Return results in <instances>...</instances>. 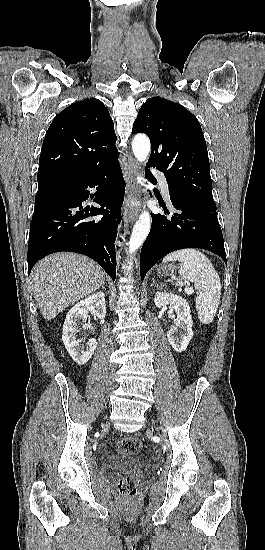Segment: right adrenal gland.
<instances>
[{
	"label": "right adrenal gland",
	"mask_w": 265,
	"mask_h": 550,
	"mask_svg": "<svg viewBox=\"0 0 265 550\" xmlns=\"http://www.w3.org/2000/svg\"><path fill=\"white\" fill-rule=\"evenodd\" d=\"M101 287H102L103 289H105V283H104V282L102 283Z\"/></svg>",
	"instance_id": "obj_1"
}]
</instances>
